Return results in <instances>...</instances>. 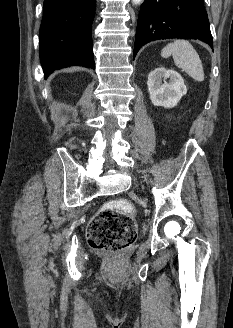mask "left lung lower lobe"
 <instances>
[{"instance_id": "1", "label": "left lung lower lobe", "mask_w": 233, "mask_h": 328, "mask_svg": "<svg viewBox=\"0 0 233 328\" xmlns=\"http://www.w3.org/2000/svg\"><path fill=\"white\" fill-rule=\"evenodd\" d=\"M199 39L213 48L203 0H145L135 38L133 59L144 44L158 39Z\"/></svg>"}]
</instances>
